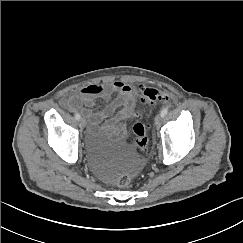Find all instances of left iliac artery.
<instances>
[{
  "mask_svg": "<svg viewBox=\"0 0 243 243\" xmlns=\"http://www.w3.org/2000/svg\"><path fill=\"white\" fill-rule=\"evenodd\" d=\"M167 113H168V108H163V109L161 110V115H162V117L166 116Z\"/></svg>",
  "mask_w": 243,
  "mask_h": 243,
  "instance_id": "left-iliac-artery-1",
  "label": "left iliac artery"
}]
</instances>
